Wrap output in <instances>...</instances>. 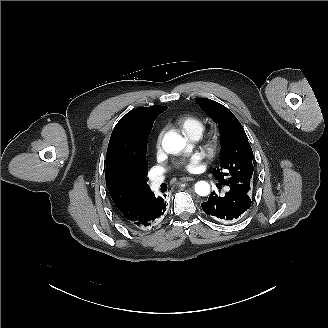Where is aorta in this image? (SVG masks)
Returning a JSON list of instances; mask_svg holds the SVG:
<instances>
[{
    "label": "aorta",
    "instance_id": "obj_1",
    "mask_svg": "<svg viewBox=\"0 0 328 328\" xmlns=\"http://www.w3.org/2000/svg\"><path fill=\"white\" fill-rule=\"evenodd\" d=\"M163 146L167 152L176 153L186 146V141L179 134L169 133L163 139ZM194 188L199 196H207L210 193V185L205 181L197 182Z\"/></svg>",
    "mask_w": 328,
    "mask_h": 328
}]
</instances>
